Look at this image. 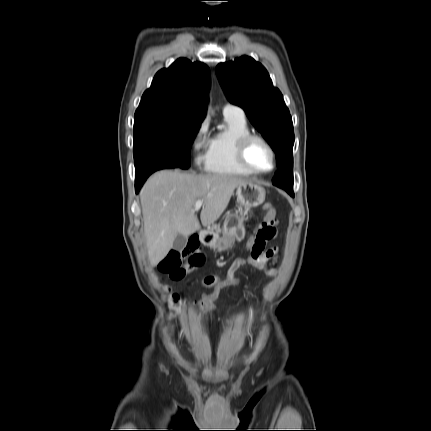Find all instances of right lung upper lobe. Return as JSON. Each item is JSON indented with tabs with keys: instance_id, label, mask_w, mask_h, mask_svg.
<instances>
[{
	"instance_id": "cb5924a9",
	"label": "right lung upper lobe",
	"mask_w": 431,
	"mask_h": 431,
	"mask_svg": "<svg viewBox=\"0 0 431 431\" xmlns=\"http://www.w3.org/2000/svg\"><path fill=\"white\" fill-rule=\"evenodd\" d=\"M209 88L210 72L205 64L178 59L155 75L142 96L135 119L162 117L201 123L206 115Z\"/></svg>"
}]
</instances>
